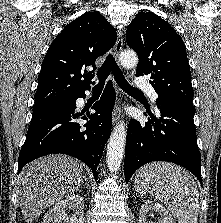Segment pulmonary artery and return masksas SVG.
<instances>
[{"label": "pulmonary artery", "instance_id": "e3ab8cb5", "mask_svg": "<svg viewBox=\"0 0 221 223\" xmlns=\"http://www.w3.org/2000/svg\"><path fill=\"white\" fill-rule=\"evenodd\" d=\"M135 85L139 89L145 90L148 93V95L151 98V100L153 102H156V100L158 98V95L155 92V90L150 86V83H149L148 80H146V79H138V80H136Z\"/></svg>", "mask_w": 221, "mask_h": 223}]
</instances>
